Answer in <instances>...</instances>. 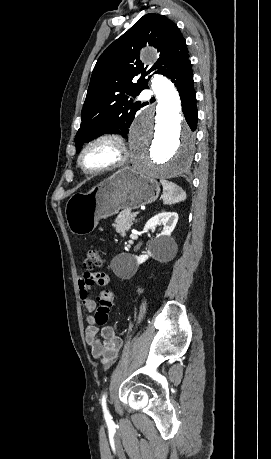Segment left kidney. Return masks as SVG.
I'll list each match as a JSON object with an SVG mask.
<instances>
[{
  "instance_id": "1",
  "label": "left kidney",
  "mask_w": 271,
  "mask_h": 459,
  "mask_svg": "<svg viewBox=\"0 0 271 459\" xmlns=\"http://www.w3.org/2000/svg\"><path fill=\"white\" fill-rule=\"evenodd\" d=\"M177 222L178 214H176V212H161V214H157V216H154V218L146 222L143 228L144 231H152V229L157 228V226H164V228L160 233H157L156 237H152L151 241H149L147 253L135 255V257H133L132 265H134V269H136L139 263L146 261L149 255H153L155 259H160L164 253L171 251L172 245H174L171 231H173Z\"/></svg>"
}]
</instances>
